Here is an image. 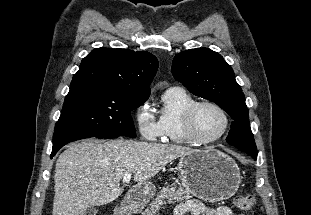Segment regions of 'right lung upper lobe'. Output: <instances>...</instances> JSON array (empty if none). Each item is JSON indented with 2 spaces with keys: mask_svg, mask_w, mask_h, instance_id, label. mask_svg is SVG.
<instances>
[{
  "mask_svg": "<svg viewBox=\"0 0 311 215\" xmlns=\"http://www.w3.org/2000/svg\"><path fill=\"white\" fill-rule=\"evenodd\" d=\"M157 69L158 60L149 52L102 47L82 60L70 86H93L149 97V85Z\"/></svg>",
  "mask_w": 311,
  "mask_h": 215,
  "instance_id": "cb5924a9",
  "label": "right lung upper lobe"
}]
</instances>
